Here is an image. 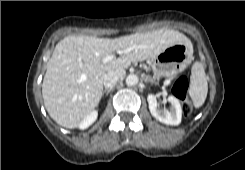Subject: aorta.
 <instances>
[{"mask_svg": "<svg viewBox=\"0 0 245 170\" xmlns=\"http://www.w3.org/2000/svg\"><path fill=\"white\" fill-rule=\"evenodd\" d=\"M138 82H139V78L135 74H130L126 77V84L128 86H135L138 84Z\"/></svg>", "mask_w": 245, "mask_h": 170, "instance_id": "aorta-1", "label": "aorta"}]
</instances>
